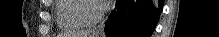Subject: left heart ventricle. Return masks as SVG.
Returning a JSON list of instances; mask_svg holds the SVG:
<instances>
[{
    "label": "left heart ventricle",
    "instance_id": "1",
    "mask_svg": "<svg viewBox=\"0 0 219 37\" xmlns=\"http://www.w3.org/2000/svg\"><path fill=\"white\" fill-rule=\"evenodd\" d=\"M91 12L93 13H97L100 10V7L98 6L97 2H93L91 4V8H90Z\"/></svg>",
    "mask_w": 219,
    "mask_h": 37
}]
</instances>
